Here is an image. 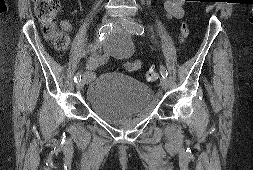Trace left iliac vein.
I'll list each match as a JSON object with an SVG mask.
<instances>
[{
  "mask_svg": "<svg viewBox=\"0 0 253 170\" xmlns=\"http://www.w3.org/2000/svg\"><path fill=\"white\" fill-rule=\"evenodd\" d=\"M113 22L116 25H119V24L122 25V27L130 33H132L131 31H132V28H133V24L136 23L133 19H130L128 17H123L122 19H120L118 17H114ZM160 84H161V87H162L163 90H167L168 87H169V81L166 77L161 78Z\"/></svg>",
  "mask_w": 253,
  "mask_h": 170,
  "instance_id": "1",
  "label": "left iliac vein"
}]
</instances>
